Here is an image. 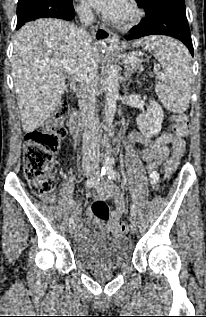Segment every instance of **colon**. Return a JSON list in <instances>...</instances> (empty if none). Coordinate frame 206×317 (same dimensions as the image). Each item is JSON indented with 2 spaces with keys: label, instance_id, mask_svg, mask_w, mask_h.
I'll return each mask as SVG.
<instances>
[{
  "label": "colon",
  "instance_id": "colon-1",
  "mask_svg": "<svg viewBox=\"0 0 206 317\" xmlns=\"http://www.w3.org/2000/svg\"><path fill=\"white\" fill-rule=\"evenodd\" d=\"M70 117V109L66 104H60L53 119L40 129L31 131L25 136L24 172L33 193L39 197H49L55 189V180L51 176L54 156L58 152L61 141L66 136L65 122ZM172 130L179 139L173 143L171 157L166 162V169L176 168L179 159L184 154L185 144L182 137L189 132L188 117L183 113L172 116ZM92 212L101 221L110 219L111 213L104 201H96ZM118 233H126L127 225L116 221L111 227Z\"/></svg>",
  "mask_w": 206,
  "mask_h": 317
}]
</instances>
